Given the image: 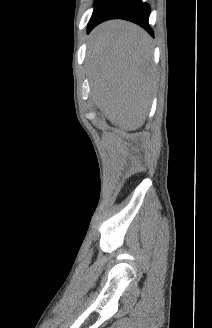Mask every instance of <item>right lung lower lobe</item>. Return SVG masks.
I'll return each instance as SVG.
<instances>
[{
  "instance_id": "98d812e1",
  "label": "right lung lower lobe",
  "mask_w": 212,
  "mask_h": 328,
  "mask_svg": "<svg viewBox=\"0 0 212 328\" xmlns=\"http://www.w3.org/2000/svg\"><path fill=\"white\" fill-rule=\"evenodd\" d=\"M150 6L142 0H98L87 26L89 33L96 25L109 19H124L138 24L153 36L148 23Z\"/></svg>"
}]
</instances>
